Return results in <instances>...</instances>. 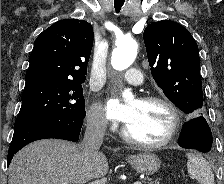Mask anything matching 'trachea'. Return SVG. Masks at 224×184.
<instances>
[{
	"mask_svg": "<svg viewBox=\"0 0 224 184\" xmlns=\"http://www.w3.org/2000/svg\"><path fill=\"white\" fill-rule=\"evenodd\" d=\"M125 0H114L115 10L118 13L121 10Z\"/></svg>",
	"mask_w": 224,
	"mask_h": 184,
	"instance_id": "obj_1",
	"label": "trachea"
}]
</instances>
